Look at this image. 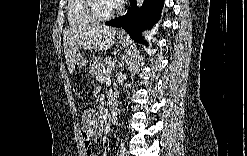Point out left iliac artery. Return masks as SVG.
<instances>
[{"label":"left iliac artery","mask_w":247,"mask_h":156,"mask_svg":"<svg viewBox=\"0 0 247 156\" xmlns=\"http://www.w3.org/2000/svg\"><path fill=\"white\" fill-rule=\"evenodd\" d=\"M127 155L126 148L124 143L121 144V156Z\"/></svg>","instance_id":"left-iliac-artery-1"}]
</instances>
